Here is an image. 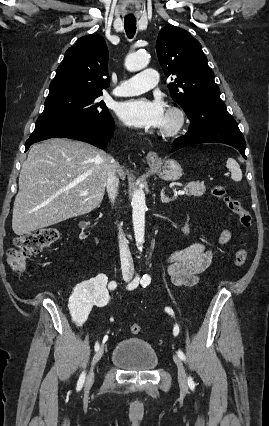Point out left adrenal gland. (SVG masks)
Masks as SVG:
<instances>
[{
	"label": "left adrenal gland",
	"instance_id": "obj_1",
	"mask_svg": "<svg viewBox=\"0 0 269 426\" xmlns=\"http://www.w3.org/2000/svg\"><path fill=\"white\" fill-rule=\"evenodd\" d=\"M160 195H161V202L162 203H169V202H171V201H173L174 199L173 198H169V197H167V196H165V188H163L162 190H161V193H160Z\"/></svg>",
	"mask_w": 269,
	"mask_h": 426
}]
</instances>
